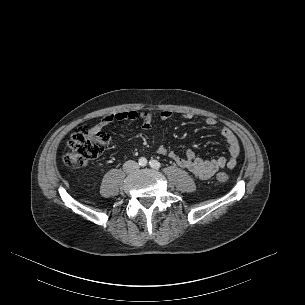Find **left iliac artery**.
<instances>
[{"label": "left iliac artery", "instance_id": "obj_1", "mask_svg": "<svg viewBox=\"0 0 305 305\" xmlns=\"http://www.w3.org/2000/svg\"><path fill=\"white\" fill-rule=\"evenodd\" d=\"M150 166L154 169H159L161 167L160 162H158L157 160H151L149 162Z\"/></svg>", "mask_w": 305, "mask_h": 305}]
</instances>
